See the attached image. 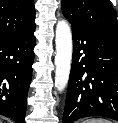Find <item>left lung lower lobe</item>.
<instances>
[{
  "label": "left lung lower lobe",
  "instance_id": "0a47b994",
  "mask_svg": "<svg viewBox=\"0 0 118 123\" xmlns=\"http://www.w3.org/2000/svg\"><path fill=\"white\" fill-rule=\"evenodd\" d=\"M73 57L62 123L118 121V37L72 26Z\"/></svg>",
  "mask_w": 118,
  "mask_h": 123
}]
</instances>
